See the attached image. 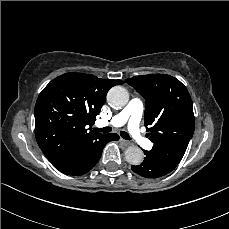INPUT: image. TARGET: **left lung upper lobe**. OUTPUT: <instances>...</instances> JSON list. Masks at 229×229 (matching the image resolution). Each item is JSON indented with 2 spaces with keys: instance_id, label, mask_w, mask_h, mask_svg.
<instances>
[{
  "instance_id": "5c2ea615",
  "label": "left lung upper lobe",
  "mask_w": 229,
  "mask_h": 229,
  "mask_svg": "<svg viewBox=\"0 0 229 229\" xmlns=\"http://www.w3.org/2000/svg\"><path fill=\"white\" fill-rule=\"evenodd\" d=\"M125 81L146 100L145 126L154 144L148 155L162 169L172 171L194 133L195 118L187 88L165 74L134 76Z\"/></svg>"
}]
</instances>
